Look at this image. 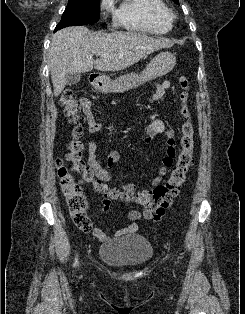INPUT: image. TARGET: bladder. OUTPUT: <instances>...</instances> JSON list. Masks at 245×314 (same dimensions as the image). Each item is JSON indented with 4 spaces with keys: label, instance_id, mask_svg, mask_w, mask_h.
<instances>
[{
    "label": "bladder",
    "instance_id": "bladder-1",
    "mask_svg": "<svg viewBox=\"0 0 245 314\" xmlns=\"http://www.w3.org/2000/svg\"><path fill=\"white\" fill-rule=\"evenodd\" d=\"M153 255L149 240L134 234L122 240H114L100 247L98 257L104 263L117 268H133L147 263Z\"/></svg>",
    "mask_w": 245,
    "mask_h": 314
}]
</instances>
